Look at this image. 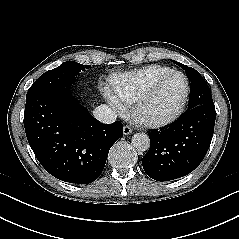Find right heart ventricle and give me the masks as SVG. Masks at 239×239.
<instances>
[{"label":"right heart ventricle","mask_w":239,"mask_h":239,"mask_svg":"<svg viewBox=\"0 0 239 239\" xmlns=\"http://www.w3.org/2000/svg\"><path fill=\"white\" fill-rule=\"evenodd\" d=\"M169 71L168 67L148 65L116 75L111 79L112 92L123 105H131L156 78Z\"/></svg>","instance_id":"1"}]
</instances>
